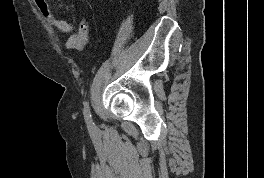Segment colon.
Wrapping results in <instances>:
<instances>
[{"label":"colon","mask_w":264,"mask_h":178,"mask_svg":"<svg viewBox=\"0 0 264 178\" xmlns=\"http://www.w3.org/2000/svg\"><path fill=\"white\" fill-rule=\"evenodd\" d=\"M90 25L87 18H83L80 22L79 30L76 34L69 37L67 46L78 50L86 48L89 42Z\"/></svg>","instance_id":"5ec220e1"}]
</instances>
